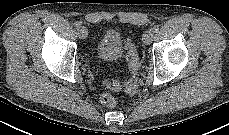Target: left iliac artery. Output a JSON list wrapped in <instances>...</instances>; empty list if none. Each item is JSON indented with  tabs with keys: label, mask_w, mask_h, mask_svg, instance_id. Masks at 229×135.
<instances>
[{
	"label": "left iliac artery",
	"mask_w": 229,
	"mask_h": 135,
	"mask_svg": "<svg viewBox=\"0 0 229 135\" xmlns=\"http://www.w3.org/2000/svg\"><path fill=\"white\" fill-rule=\"evenodd\" d=\"M158 30H159V26H158V25H155V26L151 29V31H152L153 33L158 32Z\"/></svg>",
	"instance_id": "left-iliac-artery-1"
}]
</instances>
